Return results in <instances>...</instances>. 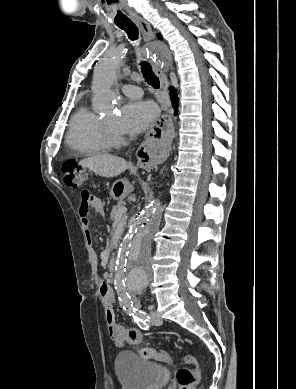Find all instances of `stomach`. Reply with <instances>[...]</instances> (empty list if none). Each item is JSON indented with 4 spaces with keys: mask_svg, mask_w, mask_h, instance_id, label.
Returning a JSON list of instances; mask_svg holds the SVG:
<instances>
[{
    "mask_svg": "<svg viewBox=\"0 0 296 389\" xmlns=\"http://www.w3.org/2000/svg\"><path fill=\"white\" fill-rule=\"evenodd\" d=\"M131 189L130 183L126 179L116 181L111 189V196L116 199H122L125 197Z\"/></svg>",
    "mask_w": 296,
    "mask_h": 389,
    "instance_id": "1",
    "label": "stomach"
}]
</instances>
